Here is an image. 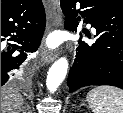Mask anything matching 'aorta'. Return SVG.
I'll use <instances>...</instances> for the list:
<instances>
[{
    "mask_svg": "<svg viewBox=\"0 0 123 113\" xmlns=\"http://www.w3.org/2000/svg\"><path fill=\"white\" fill-rule=\"evenodd\" d=\"M68 70V60L61 57L50 67L46 79V86L50 92H55L65 79Z\"/></svg>",
    "mask_w": 123,
    "mask_h": 113,
    "instance_id": "1",
    "label": "aorta"
}]
</instances>
